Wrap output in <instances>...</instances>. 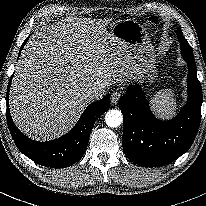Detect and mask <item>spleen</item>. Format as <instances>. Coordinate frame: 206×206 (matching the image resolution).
Here are the masks:
<instances>
[{
  "label": "spleen",
  "mask_w": 206,
  "mask_h": 206,
  "mask_svg": "<svg viewBox=\"0 0 206 206\" xmlns=\"http://www.w3.org/2000/svg\"><path fill=\"white\" fill-rule=\"evenodd\" d=\"M153 109L161 117H170L176 113L177 103L171 90H161L153 98Z\"/></svg>",
  "instance_id": "3e777b00"
}]
</instances>
